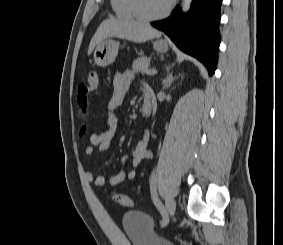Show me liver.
I'll use <instances>...</instances> for the list:
<instances>
[{
    "label": "liver",
    "instance_id": "liver-1",
    "mask_svg": "<svg viewBox=\"0 0 283 245\" xmlns=\"http://www.w3.org/2000/svg\"><path fill=\"white\" fill-rule=\"evenodd\" d=\"M161 36V32L154 29L147 23L132 21L127 19L110 18L103 21L92 37L88 55L103 40L111 37L126 39L135 43H143L153 38Z\"/></svg>",
    "mask_w": 283,
    "mask_h": 245
}]
</instances>
